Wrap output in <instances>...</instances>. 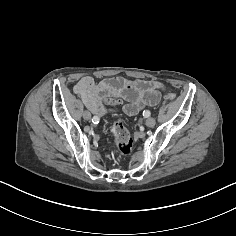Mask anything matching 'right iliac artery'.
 Returning <instances> with one entry per match:
<instances>
[{
	"label": "right iliac artery",
	"mask_w": 236,
	"mask_h": 236,
	"mask_svg": "<svg viewBox=\"0 0 236 236\" xmlns=\"http://www.w3.org/2000/svg\"><path fill=\"white\" fill-rule=\"evenodd\" d=\"M93 123H98L99 122V118L97 116H94L92 119Z\"/></svg>",
	"instance_id": "obj_1"
}]
</instances>
